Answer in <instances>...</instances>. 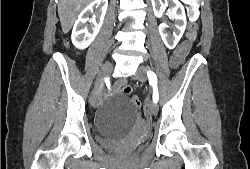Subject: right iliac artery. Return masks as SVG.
I'll return each instance as SVG.
<instances>
[{"label": "right iliac artery", "instance_id": "1", "mask_svg": "<svg viewBox=\"0 0 250 169\" xmlns=\"http://www.w3.org/2000/svg\"><path fill=\"white\" fill-rule=\"evenodd\" d=\"M108 80V78H105V82Z\"/></svg>", "mask_w": 250, "mask_h": 169}]
</instances>
